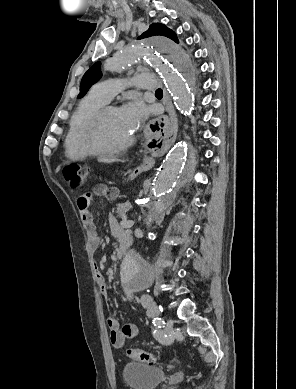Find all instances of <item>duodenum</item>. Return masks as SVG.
<instances>
[{"instance_id": "obj_1", "label": "duodenum", "mask_w": 296, "mask_h": 389, "mask_svg": "<svg viewBox=\"0 0 296 389\" xmlns=\"http://www.w3.org/2000/svg\"><path fill=\"white\" fill-rule=\"evenodd\" d=\"M131 243H132V238L130 235L121 237L119 239V247L116 252V257L121 258L126 253Z\"/></svg>"}]
</instances>
